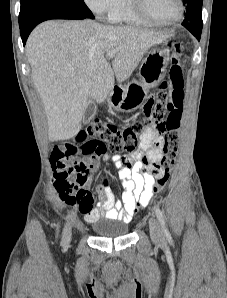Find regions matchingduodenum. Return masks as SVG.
Segmentation results:
<instances>
[{"label":"duodenum","mask_w":227,"mask_h":298,"mask_svg":"<svg viewBox=\"0 0 227 298\" xmlns=\"http://www.w3.org/2000/svg\"><path fill=\"white\" fill-rule=\"evenodd\" d=\"M120 92H121V90L117 86L113 87V89L111 91L112 95H114V96L120 94Z\"/></svg>","instance_id":"410a0bca"}]
</instances>
